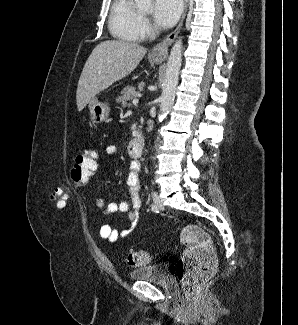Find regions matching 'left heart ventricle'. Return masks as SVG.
Instances as JSON below:
<instances>
[{"mask_svg": "<svg viewBox=\"0 0 298 325\" xmlns=\"http://www.w3.org/2000/svg\"><path fill=\"white\" fill-rule=\"evenodd\" d=\"M139 5L142 8V10L148 12L151 9V2L149 1H139Z\"/></svg>", "mask_w": 298, "mask_h": 325, "instance_id": "obj_1", "label": "left heart ventricle"}]
</instances>
